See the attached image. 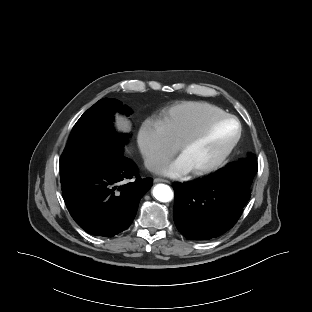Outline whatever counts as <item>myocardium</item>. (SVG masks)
<instances>
[{"label": "myocardium", "mask_w": 312, "mask_h": 312, "mask_svg": "<svg viewBox=\"0 0 312 312\" xmlns=\"http://www.w3.org/2000/svg\"><path fill=\"white\" fill-rule=\"evenodd\" d=\"M225 120H232L236 123L237 125L236 135L228 144V146L215 159H213L206 165L192 169L193 174L202 175L209 173L215 170L217 167H219L228 158V156L232 153V151L235 149L238 142L240 141L242 135L241 122L236 116L231 114H224L218 117H214L209 121H207L201 128H199L192 134L188 135L178 143V151L179 153H182L188 146L194 144L195 142L199 141L202 137H204L213 126Z\"/></svg>", "instance_id": "f54148a6"}]
</instances>
